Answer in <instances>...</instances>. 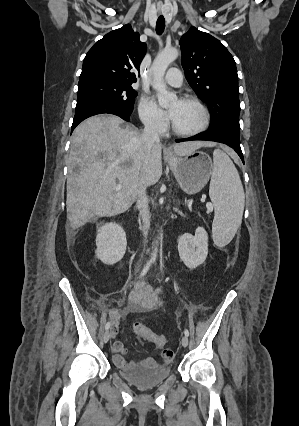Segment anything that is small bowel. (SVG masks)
Masks as SVG:
<instances>
[{
	"label": "small bowel",
	"mask_w": 299,
	"mask_h": 426,
	"mask_svg": "<svg viewBox=\"0 0 299 426\" xmlns=\"http://www.w3.org/2000/svg\"><path fill=\"white\" fill-rule=\"evenodd\" d=\"M161 305L160 290H154L145 281L141 280L137 282L134 289L131 291L129 296V308L128 312L142 313L152 311ZM122 313L117 311H110L109 316L112 319V336L115 337L119 326ZM113 350V362L119 369H133L137 367H155L160 363H169L173 357V353L170 350H163L160 357V362L152 357L144 358L140 361H127L125 359L126 348L124 345L115 341L112 346Z\"/></svg>",
	"instance_id": "c3829d8e"
}]
</instances>
